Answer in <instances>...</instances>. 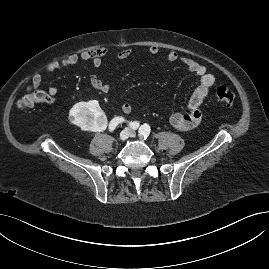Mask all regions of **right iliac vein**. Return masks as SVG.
<instances>
[{"mask_svg": "<svg viewBox=\"0 0 269 269\" xmlns=\"http://www.w3.org/2000/svg\"><path fill=\"white\" fill-rule=\"evenodd\" d=\"M130 135V129L129 128H125L121 131L119 138L121 141H125Z\"/></svg>", "mask_w": 269, "mask_h": 269, "instance_id": "63e3f726", "label": "right iliac vein"}]
</instances>
